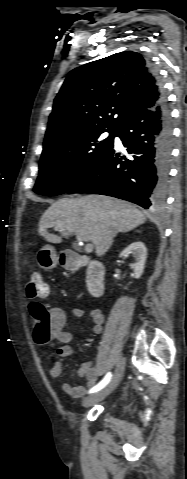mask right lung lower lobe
<instances>
[{"label":"right lung lower lobe","instance_id":"98d812e1","mask_svg":"<svg viewBox=\"0 0 187 479\" xmlns=\"http://www.w3.org/2000/svg\"><path fill=\"white\" fill-rule=\"evenodd\" d=\"M161 98L153 108L133 113L117 129L126 157L112 147L67 193H98L158 209L165 201L172 150V122L158 75Z\"/></svg>","mask_w":187,"mask_h":479}]
</instances>
